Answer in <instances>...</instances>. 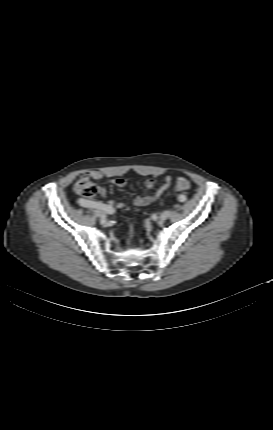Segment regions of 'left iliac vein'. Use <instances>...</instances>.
Listing matches in <instances>:
<instances>
[{"instance_id": "1", "label": "left iliac vein", "mask_w": 273, "mask_h": 430, "mask_svg": "<svg viewBox=\"0 0 273 430\" xmlns=\"http://www.w3.org/2000/svg\"><path fill=\"white\" fill-rule=\"evenodd\" d=\"M170 216V211H164L160 214L159 219L161 221L166 220Z\"/></svg>"}]
</instances>
